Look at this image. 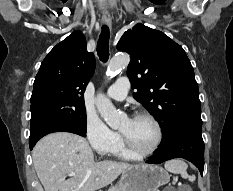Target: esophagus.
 <instances>
[{
    "instance_id": "1",
    "label": "esophagus",
    "mask_w": 233,
    "mask_h": 191,
    "mask_svg": "<svg viewBox=\"0 0 233 191\" xmlns=\"http://www.w3.org/2000/svg\"><path fill=\"white\" fill-rule=\"evenodd\" d=\"M102 21L106 26L111 28V17H110L109 14H104L103 17H102Z\"/></svg>"
}]
</instances>
